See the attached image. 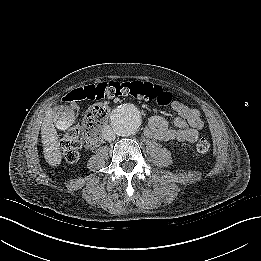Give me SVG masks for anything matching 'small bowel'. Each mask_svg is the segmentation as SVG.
<instances>
[{
    "instance_id": "c3829d8e",
    "label": "small bowel",
    "mask_w": 261,
    "mask_h": 261,
    "mask_svg": "<svg viewBox=\"0 0 261 261\" xmlns=\"http://www.w3.org/2000/svg\"><path fill=\"white\" fill-rule=\"evenodd\" d=\"M169 106L176 112V117L173 119L174 127H170L164 117L154 115L148 121L146 136L160 141L196 142L199 131L204 127L199 110L177 100H171Z\"/></svg>"
}]
</instances>
